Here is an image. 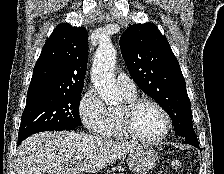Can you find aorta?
Listing matches in <instances>:
<instances>
[{
    "label": "aorta",
    "instance_id": "obj_1",
    "mask_svg": "<svg viewBox=\"0 0 224 174\" xmlns=\"http://www.w3.org/2000/svg\"><path fill=\"white\" fill-rule=\"evenodd\" d=\"M115 64V48L110 43H100L94 56L91 82L102 100L110 107L117 106L122 102V95L114 78Z\"/></svg>",
    "mask_w": 224,
    "mask_h": 174
}]
</instances>
